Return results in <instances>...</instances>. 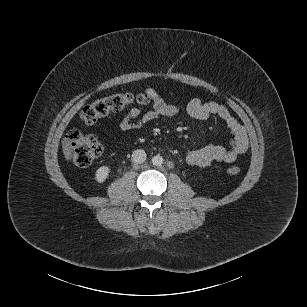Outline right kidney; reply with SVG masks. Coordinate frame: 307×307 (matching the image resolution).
I'll return each instance as SVG.
<instances>
[{
    "label": "right kidney",
    "mask_w": 307,
    "mask_h": 307,
    "mask_svg": "<svg viewBox=\"0 0 307 307\" xmlns=\"http://www.w3.org/2000/svg\"><path fill=\"white\" fill-rule=\"evenodd\" d=\"M109 172H110V169L108 167H106V166L100 167L96 171V180H97V182H99V183L104 182L107 179Z\"/></svg>",
    "instance_id": "1"
}]
</instances>
